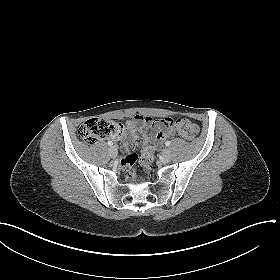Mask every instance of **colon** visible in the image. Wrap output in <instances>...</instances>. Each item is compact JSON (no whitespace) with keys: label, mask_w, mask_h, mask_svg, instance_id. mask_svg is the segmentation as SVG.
I'll use <instances>...</instances> for the list:
<instances>
[{"label":"colon","mask_w":280,"mask_h":280,"mask_svg":"<svg viewBox=\"0 0 280 280\" xmlns=\"http://www.w3.org/2000/svg\"><path fill=\"white\" fill-rule=\"evenodd\" d=\"M172 126L180 136L187 140L194 139L199 132L196 124L184 118L174 120ZM121 131L122 126L114 121L92 118L80 125L77 134L84 142L94 143L100 139L115 136ZM138 160L143 167L148 168L153 160V148L145 147L139 157L136 154H129L122 158L121 166L131 177L135 175V164Z\"/></svg>","instance_id":"1"}]
</instances>
